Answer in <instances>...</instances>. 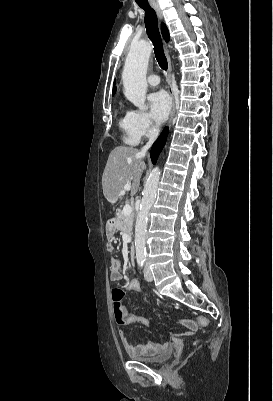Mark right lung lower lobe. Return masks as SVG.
Masks as SVG:
<instances>
[{
	"mask_svg": "<svg viewBox=\"0 0 273 401\" xmlns=\"http://www.w3.org/2000/svg\"><path fill=\"white\" fill-rule=\"evenodd\" d=\"M167 134H168V129L165 128L161 135L158 137V139L154 142L151 151H150V156L153 164L156 163L157 158L160 154V152L163 149V146L165 145L166 139H167Z\"/></svg>",
	"mask_w": 273,
	"mask_h": 401,
	"instance_id": "obj_1",
	"label": "right lung lower lobe"
}]
</instances>
